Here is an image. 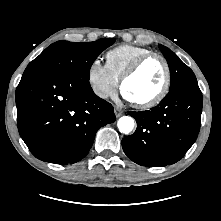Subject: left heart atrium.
Returning <instances> with one entry per match:
<instances>
[{"mask_svg": "<svg viewBox=\"0 0 221 221\" xmlns=\"http://www.w3.org/2000/svg\"><path fill=\"white\" fill-rule=\"evenodd\" d=\"M123 97L125 99H127L128 101H132L131 98L128 96V94L125 91H123Z\"/></svg>", "mask_w": 221, "mask_h": 221, "instance_id": "left-heart-atrium-1", "label": "left heart atrium"}]
</instances>
